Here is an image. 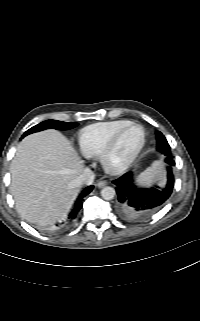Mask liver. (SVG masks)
<instances>
[{
	"label": "liver",
	"mask_w": 200,
	"mask_h": 321,
	"mask_svg": "<svg viewBox=\"0 0 200 321\" xmlns=\"http://www.w3.org/2000/svg\"><path fill=\"white\" fill-rule=\"evenodd\" d=\"M83 161L56 130L25 137L11 163V194L18 213L30 223L46 225L66 217L80 187Z\"/></svg>",
	"instance_id": "1"
}]
</instances>
